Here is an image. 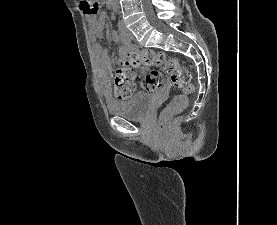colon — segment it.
<instances>
[{"instance_id":"colon-1","label":"colon","mask_w":277,"mask_h":225,"mask_svg":"<svg viewBox=\"0 0 277 225\" xmlns=\"http://www.w3.org/2000/svg\"><path fill=\"white\" fill-rule=\"evenodd\" d=\"M81 9L85 14L95 15L99 11L96 0H81ZM144 66L159 68L147 73L144 88L148 91L160 89L165 81V74L170 78L171 84L180 89L160 115V125L164 129L169 118L183 111L192 95L194 88L190 82V72L177 57H169L163 52L151 49H142L122 57L115 72L114 93L119 101L129 99L135 91V73L133 67Z\"/></svg>"}]
</instances>
